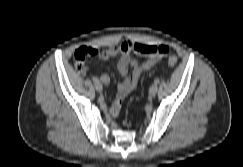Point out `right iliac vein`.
Segmentation results:
<instances>
[{"mask_svg":"<svg viewBox=\"0 0 243 167\" xmlns=\"http://www.w3.org/2000/svg\"><path fill=\"white\" fill-rule=\"evenodd\" d=\"M95 89L98 91V92H101L103 90V87L100 83H96L95 84Z\"/></svg>","mask_w":243,"mask_h":167,"instance_id":"1","label":"right iliac vein"}]
</instances>
